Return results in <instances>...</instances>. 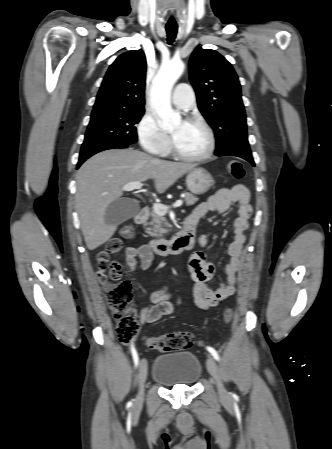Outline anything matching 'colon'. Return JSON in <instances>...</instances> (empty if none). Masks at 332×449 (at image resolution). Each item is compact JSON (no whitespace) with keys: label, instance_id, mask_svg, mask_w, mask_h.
Listing matches in <instances>:
<instances>
[{"label":"colon","instance_id":"1","mask_svg":"<svg viewBox=\"0 0 332 449\" xmlns=\"http://www.w3.org/2000/svg\"><path fill=\"white\" fill-rule=\"evenodd\" d=\"M229 174L236 179L243 178L244 167L240 161H230L227 165ZM121 237L111 239L105 249L97 254L98 275L105 281L107 271L113 282H105L104 293L113 316L117 319L116 333L120 341L130 343L136 339L139 323L132 308L133 292L132 285L127 280H119L121 277V266L111 262L110 256L118 253L122 248V240H131L134 237V227L125 226L120 231ZM233 311L226 309L223 319L231 321ZM194 336L190 332H174L159 337H148L146 344L149 348L161 352L181 351L192 346Z\"/></svg>","mask_w":332,"mask_h":449}]
</instances>
